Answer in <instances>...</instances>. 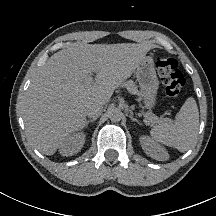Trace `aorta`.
<instances>
[{
    "label": "aorta",
    "instance_id": "762f6f07",
    "mask_svg": "<svg viewBox=\"0 0 216 216\" xmlns=\"http://www.w3.org/2000/svg\"><path fill=\"white\" fill-rule=\"evenodd\" d=\"M123 113L121 112L120 109L118 108H113L110 112H109V118L111 119V121L113 122H119L122 119Z\"/></svg>",
    "mask_w": 216,
    "mask_h": 216
}]
</instances>
